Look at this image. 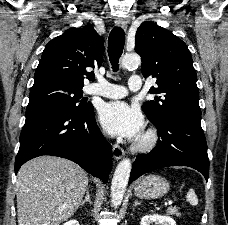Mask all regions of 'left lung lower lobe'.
<instances>
[{
  "instance_id": "0a47b994",
  "label": "left lung lower lobe",
  "mask_w": 228,
  "mask_h": 225,
  "mask_svg": "<svg viewBox=\"0 0 228 225\" xmlns=\"http://www.w3.org/2000/svg\"><path fill=\"white\" fill-rule=\"evenodd\" d=\"M154 125L160 137L157 146L150 153L136 157L128 184L142 174L169 166L192 167L208 180L207 143L200 119L172 115Z\"/></svg>"
}]
</instances>
